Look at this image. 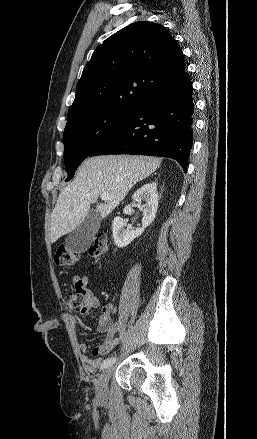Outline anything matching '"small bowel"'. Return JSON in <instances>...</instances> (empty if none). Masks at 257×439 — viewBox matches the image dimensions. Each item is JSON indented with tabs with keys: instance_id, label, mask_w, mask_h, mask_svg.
Here are the masks:
<instances>
[{
	"instance_id": "small-bowel-1",
	"label": "small bowel",
	"mask_w": 257,
	"mask_h": 439,
	"mask_svg": "<svg viewBox=\"0 0 257 439\" xmlns=\"http://www.w3.org/2000/svg\"><path fill=\"white\" fill-rule=\"evenodd\" d=\"M88 282L89 280L87 277H76L74 279L75 288H83L86 292L84 309L81 312L82 314H86L91 309L100 307L99 299L87 288ZM113 309L114 306L112 303H106L101 306L96 329L100 333H105V338L100 345L93 348L92 356L88 355V346L85 343H80L78 345L80 350V360L87 373L92 374L98 367L102 366V363L104 362L102 356L110 353L120 343V339L116 336L117 325L112 319ZM71 320L73 322L75 321L73 318H71Z\"/></svg>"
}]
</instances>
